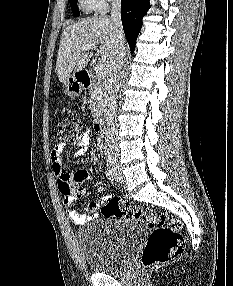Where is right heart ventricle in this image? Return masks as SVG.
<instances>
[{
    "label": "right heart ventricle",
    "mask_w": 233,
    "mask_h": 286,
    "mask_svg": "<svg viewBox=\"0 0 233 286\" xmlns=\"http://www.w3.org/2000/svg\"><path fill=\"white\" fill-rule=\"evenodd\" d=\"M80 6L84 12H92L95 10L92 0H79Z\"/></svg>",
    "instance_id": "right-heart-ventricle-1"
}]
</instances>
